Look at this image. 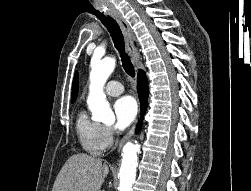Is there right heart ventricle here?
<instances>
[{"mask_svg":"<svg viewBox=\"0 0 251 191\" xmlns=\"http://www.w3.org/2000/svg\"><path fill=\"white\" fill-rule=\"evenodd\" d=\"M101 125L91 121L84 111H80L76 120V133L81 148L92 155H98L103 150L100 141Z\"/></svg>","mask_w":251,"mask_h":191,"instance_id":"e07e8e85","label":"right heart ventricle"}]
</instances>
